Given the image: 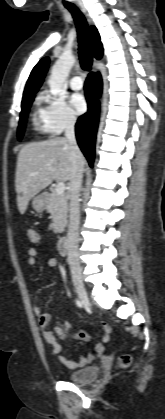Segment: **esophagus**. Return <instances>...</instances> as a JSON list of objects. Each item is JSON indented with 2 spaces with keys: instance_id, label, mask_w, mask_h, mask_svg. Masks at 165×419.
I'll list each match as a JSON object with an SVG mask.
<instances>
[{
  "instance_id": "esophagus-1",
  "label": "esophagus",
  "mask_w": 165,
  "mask_h": 419,
  "mask_svg": "<svg viewBox=\"0 0 165 419\" xmlns=\"http://www.w3.org/2000/svg\"><path fill=\"white\" fill-rule=\"evenodd\" d=\"M83 10H84L85 14H86L87 16H89L88 12H87L85 9H83ZM95 62H96V60H95ZM93 71H96V68H93Z\"/></svg>"
}]
</instances>
